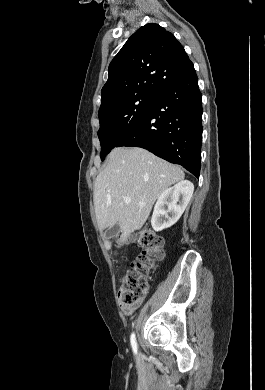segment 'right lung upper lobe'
I'll return each mask as SVG.
<instances>
[{"label": "right lung upper lobe", "mask_w": 265, "mask_h": 390, "mask_svg": "<svg viewBox=\"0 0 265 390\" xmlns=\"http://www.w3.org/2000/svg\"><path fill=\"white\" fill-rule=\"evenodd\" d=\"M191 64L172 33L158 24H146L111 61L99 110L137 94H156Z\"/></svg>", "instance_id": "right-lung-upper-lobe-1"}]
</instances>
